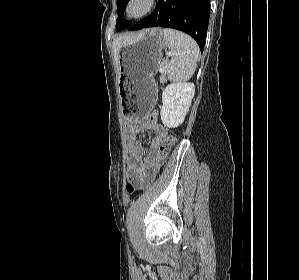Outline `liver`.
I'll list each match as a JSON object with an SVG mask.
<instances>
[{"label": "liver", "instance_id": "1", "mask_svg": "<svg viewBox=\"0 0 299 280\" xmlns=\"http://www.w3.org/2000/svg\"><path fill=\"white\" fill-rule=\"evenodd\" d=\"M134 37L131 36H121V37H117L113 40L112 43V52H113V56H114V61L116 66L118 67V58H119V52L122 48V46L128 42H130Z\"/></svg>", "mask_w": 299, "mask_h": 280}]
</instances>
